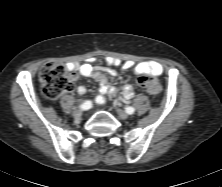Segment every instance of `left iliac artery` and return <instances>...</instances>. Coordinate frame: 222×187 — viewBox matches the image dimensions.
Wrapping results in <instances>:
<instances>
[{
  "label": "left iliac artery",
  "instance_id": "1",
  "mask_svg": "<svg viewBox=\"0 0 222 187\" xmlns=\"http://www.w3.org/2000/svg\"><path fill=\"white\" fill-rule=\"evenodd\" d=\"M126 112L128 113V114H133L134 112H135V108H133V107H126Z\"/></svg>",
  "mask_w": 222,
  "mask_h": 187
}]
</instances>
